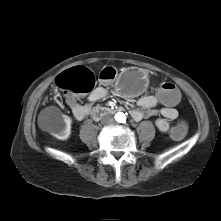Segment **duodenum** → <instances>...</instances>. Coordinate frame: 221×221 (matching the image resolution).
Wrapping results in <instances>:
<instances>
[{
	"instance_id": "obj_1",
	"label": "duodenum",
	"mask_w": 221,
	"mask_h": 221,
	"mask_svg": "<svg viewBox=\"0 0 221 221\" xmlns=\"http://www.w3.org/2000/svg\"><path fill=\"white\" fill-rule=\"evenodd\" d=\"M117 108L110 107H95L91 111L90 115L94 120H99L105 115L113 114L117 111Z\"/></svg>"
}]
</instances>
